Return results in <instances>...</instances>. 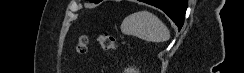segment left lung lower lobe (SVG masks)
<instances>
[{
	"instance_id": "left-lung-lower-lobe-1",
	"label": "left lung lower lobe",
	"mask_w": 244,
	"mask_h": 73,
	"mask_svg": "<svg viewBox=\"0 0 244 73\" xmlns=\"http://www.w3.org/2000/svg\"><path fill=\"white\" fill-rule=\"evenodd\" d=\"M164 11L178 26L182 28L184 23L187 0H142Z\"/></svg>"
}]
</instances>
